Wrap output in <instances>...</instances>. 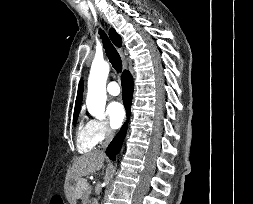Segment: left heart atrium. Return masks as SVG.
Returning <instances> with one entry per match:
<instances>
[{"instance_id": "obj_1", "label": "left heart atrium", "mask_w": 253, "mask_h": 204, "mask_svg": "<svg viewBox=\"0 0 253 204\" xmlns=\"http://www.w3.org/2000/svg\"><path fill=\"white\" fill-rule=\"evenodd\" d=\"M106 114L111 127L114 129H117L121 126L125 117L124 108L118 101H113L107 106Z\"/></svg>"}]
</instances>
